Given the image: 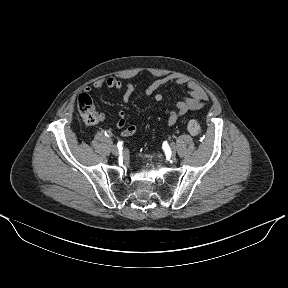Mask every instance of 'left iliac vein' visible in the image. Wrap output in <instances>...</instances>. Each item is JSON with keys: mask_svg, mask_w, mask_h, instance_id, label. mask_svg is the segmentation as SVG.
<instances>
[{"mask_svg": "<svg viewBox=\"0 0 288 288\" xmlns=\"http://www.w3.org/2000/svg\"><path fill=\"white\" fill-rule=\"evenodd\" d=\"M171 151H172V156H174V153L176 152V145L175 143L171 144Z\"/></svg>", "mask_w": 288, "mask_h": 288, "instance_id": "1", "label": "left iliac vein"}]
</instances>
